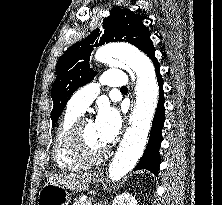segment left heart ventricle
I'll use <instances>...</instances> for the list:
<instances>
[{
    "instance_id": "left-heart-ventricle-1",
    "label": "left heart ventricle",
    "mask_w": 222,
    "mask_h": 205,
    "mask_svg": "<svg viewBox=\"0 0 222 205\" xmlns=\"http://www.w3.org/2000/svg\"><path fill=\"white\" fill-rule=\"evenodd\" d=\"M82 139L85 151L89 155H97L107 148V146L100 141L94 123L91 121H87L83 124Z\"/></svg>"
}]
</instances>
